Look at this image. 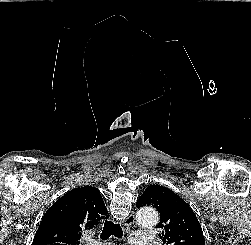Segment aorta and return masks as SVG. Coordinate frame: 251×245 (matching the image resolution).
<instances>
[{
  "label": "aorta",
  "instance_id": "obj_1",
  "mask_svg": "<svg viewBox=\"0 0 251 245\" xmlns=\"http://www.w3.org/2000/svg\"><path fill=\"white\" fill-rule=\"evenodd\" d=\"M138 223L142 227H153L158 223V213L151 207H143L137 212Z\"/></svg>",
  "mask_w": 251,
  "mask_h": 245
}]
</instances>
